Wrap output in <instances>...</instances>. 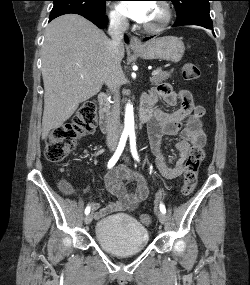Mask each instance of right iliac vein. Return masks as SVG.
Masks as SVG:
<instances>
[{"label":"right iliac vein","mask_w":250,"mask_h":285,"mask_svg":"<svg viewBox=\"0 0 250 285\" xmlns=\"http://www.w3.org/2000/svg\"><path fill=\"white\" fill-rule=\"evenodd\" d=\"M92 218H93V216H92L91 213H90V214H87L86 217H85V219H84L85 224H90V223L92 222Z\"/></svg>","instance_id":"obj_1"}]
</instances>
